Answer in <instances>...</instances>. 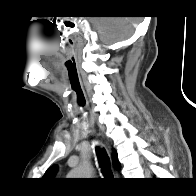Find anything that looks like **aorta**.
<instances>
[{"instance_id":"obj_1","label":"aorta","mask_w":196,"mask_h":196,"mask_svg":"<svg viewBox=\"0 0 196 196\" xmlns=\"http://www.w3.org/2000/svg\"><path fill=\"white\" fill-rule=\"evenodd\" d=\"M90 170V166L88 163L83 162L81 165L73 170L70 174L73 178H84L85 176H88Z\"/></svg>"}]
</instances>
